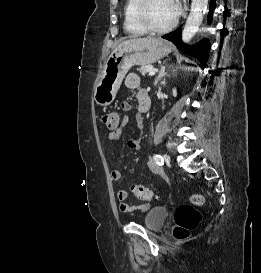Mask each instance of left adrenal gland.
Masks as SVG:
<instances>
[{"label": "left adrenal gland", "instance_id": "left-adrenal-gland-1", "mask_svg": "<svg viewBox=\"0 0 261 273\" xmlns=\"http://www.w3.org/2000/svg\"><path fill=\"white\" fill-rule=\"evenodd\" d=\"M166 75H168V73L165 72V66H162L159 73H158V76L156 77V79L154 81V85L156 86L158 84V82Z\"/></svg>", "mask_w": 261, "mask_h": 273}]
</instances>
